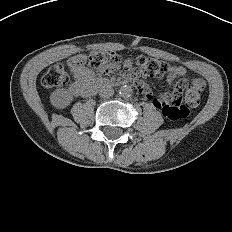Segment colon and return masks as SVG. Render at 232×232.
Segmentation results:
<instances>
[{"label": "colon", "mask_w": 232, "mask_h": 232, "mask_svg": "<svg viewBox=\"0 0 232 232\" xmlns=\"http://www.w3.org/2000/svg\"><path fill=\"white\" fill-rule=\"evenodd\" d=\"M75 61L79 65L86 62L102 74H110L116 71L121 63V58L112 53L94 51L87 58L78 56ZM136 64L140 72L147 77L162 78L170 70L167 63L155 58L139 56ZM68 74L65 67L56 63L51 65L42 78V83L46 87H57L68 82ZM184 95V102L178 97ZM202 89L188 85L184 81H179L175 85L174 94H163L157 98V102L162 106V113L171 120H178L187 117L189 109L195 107L201 98Z\"/></svg>", "instance_id": "colon-1"}]
</instances>
